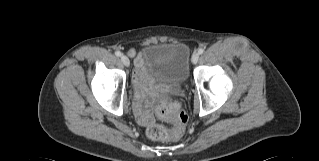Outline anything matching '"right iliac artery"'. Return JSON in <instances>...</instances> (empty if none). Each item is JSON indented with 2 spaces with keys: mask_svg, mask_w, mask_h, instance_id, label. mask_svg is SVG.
I'll return each mask as SVG.
<instances>
[{
  "mask_svg": "<svg viewBox=\"0 0 319 161\" xmlns=\"http://www.w3.org/2000/svg\"><path fill=\"white\" fill-rule=\"evenodd\" d=\"M115 55L118 56V57H120L122 54H121V52L116 51V52H115Z\"/></svg>",
  "mask_w": 319,
  "mask_h": 161,
  "instance_id": "82829eb1",
  "label": "right iliac artery"
}]
</instances>
